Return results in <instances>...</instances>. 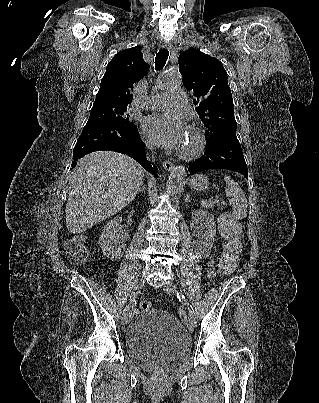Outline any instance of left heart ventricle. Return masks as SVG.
<instances>
[{
    "label": "left heart ventricle",
    "mask_w": 319,
    "mask_h": 403,
    "mask_svg": "<svg viewBox=\"0 0 319 403\" xmlns=\"http://www.w3.org/2000/svg\"><path fill=\"white\" fill-rule=\"evenodd\" d=\"M194 145V139L191 136L190 133L187 134V139L186 142L184 144V146L182 147V150H190Z\"/></svg>",
    "instance_id": "left-heart-ventricle-1"
}]
</instances>
